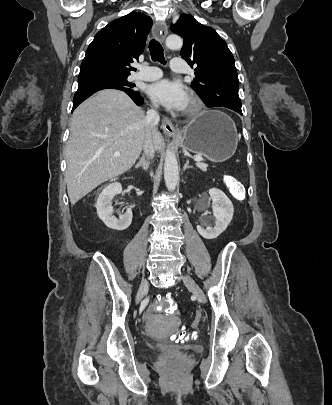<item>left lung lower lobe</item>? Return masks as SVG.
<instances>
[{"label":"left lung lower lobe","instance_id":"0a47b994","mask_svg":"<svg viewBox=\"0 0 332 405\" xmlns=\"http://www.w3.org/2000/svg\"><path fill=\"white\" fill-rule=\"evenodd\" d=\"M235 112H238L239 114H242V111H241V110H238V111H235Z\"/></svg>","mask_w":332,"mask_h":405}]
</instances>
